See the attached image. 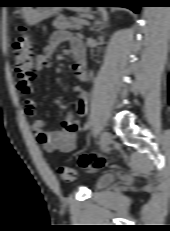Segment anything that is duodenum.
Wrapping results in <instances>:
<instances>
[{"label":"duodenum","mask_w":170,"mask_h":231,"mask_svg":"<svg viewBox=\"0 0 170 231\" xmlns=\"http://www.w3.org/2000/svg\"><path fill=\"white\" fill-rule=\"evenodd\" d=\"M74 57L76 59L77 64L82 65L84 62V54L82 50L76 49L74 50Z\"/></svg>","instance_id":"1"}]
</instances>
